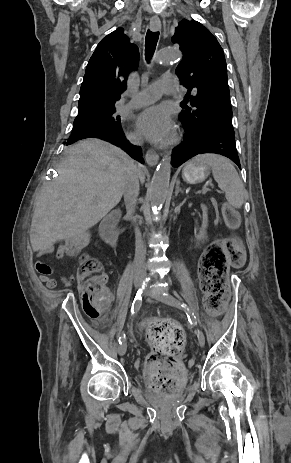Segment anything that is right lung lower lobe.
<instances>
[{
    "instance_id": "obj_1",
    "label": "right lung lower lobe",
    "mask_w": 291,
    "mask_h": 463,
    "mask_svg": "<svg viewBox=\"0 0 291 463\" xmlns=\"http://www.w3.org/2000/svg\"><path fill=\"white\" fill-rule=\"evenodd\" d=\"M85 138H100L102 140L108 141L118 147H121L123 150H125L132 158L135 160L143 163V158H142V151L139 146H134L130 144L124 136V133L122 129L118 130H113V131H103V132H94V133H89L74 139H68V144H72L78 140L85 139Z\"/></svg>"
}]
</instances>
